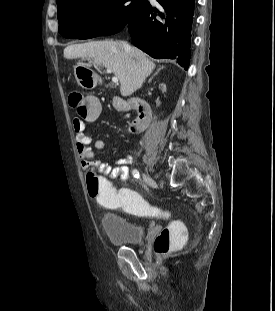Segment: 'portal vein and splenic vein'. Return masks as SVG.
Wrapping results in <instances>:
<instances>
[{
    "mask_svg": "<svg viewBox=\"0 0 275 311\" xmlns=\"http://www.w3.org/2000/svg\"><path fill=\"white\" fill-rule=\"evenodd\" d=\"M108 73H111V70L107 69ZM112 82L113 83H118V78L117 77H112Z\"/></svg>",
    "mask_w": 275,
    "mask_h": 311,
    "instance_id": "obj_1",
    "label": "portal vein and splenic vein"
}]
</instances>
